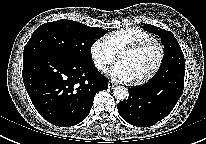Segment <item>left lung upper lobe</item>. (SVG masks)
<instances>
[{"mask_svg":"<svg viewBox=\"0 0 206 144\" xmlns=\"http://www.w3.org/2000/svg\"><path fill=\"white\" fill-rule=\"evenodd\" d=\"M143 29L156 34L162 38L164 45V58L156 75L150 81L160 80L165 75V72L174 68H185L184 55L181 47L170 31H166L151 24H145Z\"/></svg>","mask_w":206,"mask_h":144,"instance_id":"left-lung-upper-lobe-1","label":"left lung upper lobe"}]
</instances>
